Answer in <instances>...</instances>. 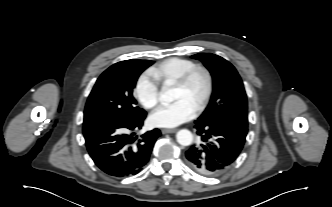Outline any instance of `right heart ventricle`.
Segmentation results:
<instances>
[{"instance_id": "obj_1", "label": "right heart ventricle", "mask_w": 332, "mask_h": 207, "mask_svg": "<svg viewBox=\"0 0 332 207\" xmlns=\"http://www.w3.org/2000/svg\"><path fill=\"white\" fill-rule=\"evenodd\" d=\"M196 63L190 59L170 57L150 69L151 75L160 83L175 82Z\"/></svg>"}]
</instances>
